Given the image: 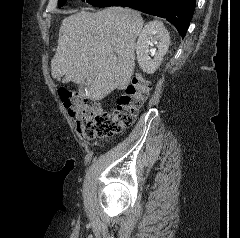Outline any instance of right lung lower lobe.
Listing matches in <instances>:
<instances>
[{"mask_svg": "<svg viewBox=\"0 0 240 238\" xmlns=\"http://www.w3.org/2000/svg\"><path fill=\"white\" fill-rule=\"evenodd\" d=\"M93 5L132 7L153 16L166 18L184 37L195 10L196 0H98Z\"/></svg>", "mask_w": 240, "mask_h": 238, "instance_id": "obj_1", "label": "right lung lower lobe"}]
</instances>
